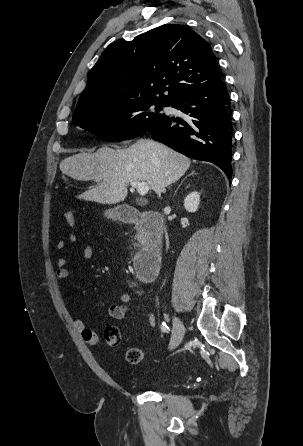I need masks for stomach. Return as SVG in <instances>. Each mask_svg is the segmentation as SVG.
Instances as JSON below:
<instances>
[{
	"instance_id": "1",
	"label": "stomach",
	"mask_w": 303,
	"mask_h": 446,
	"mask_svg": "<svg viewBox=\"0 0 303 446\" xmlns=\"http://www.w3.org/2000/svg\"><path fill=\"white\" fill-rule=\"evenodd\" d=\"M105 215H106L108 218H116V217H117V214H116L114 211H107V212L105 213Z\"/></svg>"
}]
</instances>
